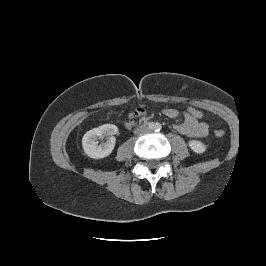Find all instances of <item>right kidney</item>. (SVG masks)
I'll use <instances>...</instances> for the list:
<instances>
[{
	"instance_id": "obj_1",
	"label": "right kidney",
	"mask_w": 266,
	"mask_h": 266,
	"mask_svg": "<svg viewBox=\"0 0 266 266\" xmlns=\"http://www.w3.org/2000/svg\"><path fill=\"white\" fill-rule=\"evenodd\" d=\"M118 128L113 124H104L86 132L82 138L84 152L91 158L101 159L111 154L115 147ZM106 137V142L98 144L97 139Z\"/></svg>"
}]
</instances>
